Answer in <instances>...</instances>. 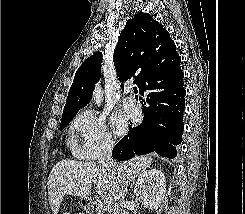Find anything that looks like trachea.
Wrapping results in <instances>:
<instances>
[{"label": "trachea", "mask_w": 245, "mask_h": 214, "mask_svg": "<svg viewBox=\"0 0 245 214\" xmlns=\"http://www.w3.org/2000/svg\"><path fill=\"white\" fill-rule=\"evenodd\" d=\"M134 93H135V97L137 98L138 97V95H137L138 90L136 88H134Z\"/></svg>", "instance_id": "trachea-1"}]
</instances>
